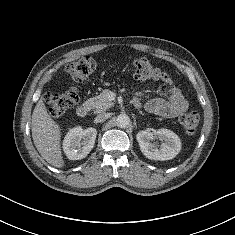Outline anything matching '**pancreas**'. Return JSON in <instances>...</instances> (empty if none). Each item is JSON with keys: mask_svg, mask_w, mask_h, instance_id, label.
Wrapping results in <instances>:
<instances>
[{"mask_svg": "<svg viewBox=\"0 0 235 235\" xmlns=\"http://www.w3.org/2000/svg\"><path fill=\"white\" fill-rule=\"evenodd\" d=\"M109 93V90H103L98 96L88 100L95 113L106 111L113 106L114 103L109 99Z\"/></svg>", "mask_w": 235, "mask_h": 235, "instance_id": "1", "label": "pancreas"}]
</instances>
